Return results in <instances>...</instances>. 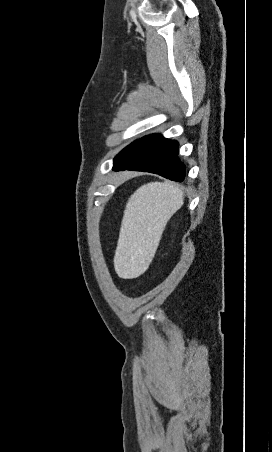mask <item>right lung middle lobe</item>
<instances>
[{"label": "right lung middle lobe", "mask_w": 272, "mask_h": 452, "mask_svg": "<svg viewBox=\"0 0 272 452\" xmlns=\"http://www.w3.org/2000/svg\"><path fill=\"white\" fill-rule=\"evenodd\" d=\"M138 141H139V140H137V141L131 143L129 146H127L125 149H123V150L116 156V158L114 159V164H115L118 160H120V159L123 157V155H124V154H125V153L133 146V145H135Z\"/></svg>", "instance_id": "1"}]
</instances>
